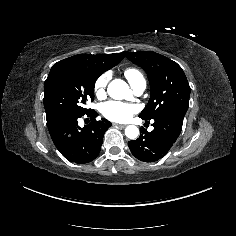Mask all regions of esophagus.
<instances>
[{"mask_svg":"<svg viewBox=\"0 0 236 236\" xmlns=\"http://www.w3.org/2000/svg\"><path fill=\"white\" fill-rule=\"evenodd\" d=\"M113 126L124 128L126 125L125 124H119V123H113Z\"/></svg>","mask_w":236,"mask_h":236,"instance_id":"obj_1","label":"esophagus"}]
</instances>
